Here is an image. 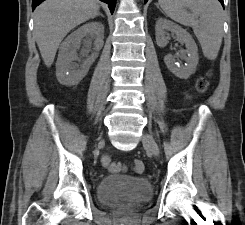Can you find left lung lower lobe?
<instances>
[{"mask_svg": "<svg viewBox=\"0 0 245 225\" xmlns=\"http://www.w3.org/2000/svg\"><path fill=\"white\" fill-rule=\"evenodd\" d=\"M148 0H144V2L146 3ZM220 1V3L222 4V6H224V2H223V0H219Z\"/></svg>", "mask_w": 245, "mask_h": 225, "instance_id": "left-lung-lower-lobe-1", "label": "left lung lower lobe"}]
</instances>
